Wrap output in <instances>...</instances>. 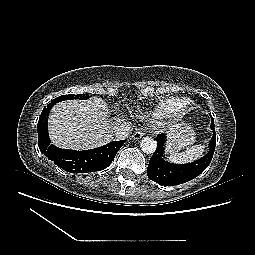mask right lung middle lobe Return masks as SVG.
<instances>
[{
	"instance_id": "1",
	"label": "right lung middle lobe",
	"mask_w": 255,
	"mask_h": 255,
	"mask_svg": "<svg viewBox=\"0 0 255 255\" xmlns=\"http://www.w3.org/2000/svg\"><path fill=\"white\" fill-rule=\"evenodd\" d=\"M89 98V95L87 94H77V95H74V94H68V95H61L55 99H53L51 101V103L48 104V106L46 108H52V106H54L56 103L58 102H61V101H64V100H71V99H88ZM44 108V109H46Z\"/></svg>"
}]
</instances>
